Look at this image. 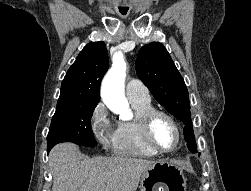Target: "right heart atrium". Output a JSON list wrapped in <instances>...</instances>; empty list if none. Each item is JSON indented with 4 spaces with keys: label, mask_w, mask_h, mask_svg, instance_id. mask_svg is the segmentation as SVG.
I'll use <instances>...</instances> for the list:
<instances>
[{
    "label": "right heart atrium",
    "mask_w": 251,
    "mask_h": 191,
    "mask_svg": "<svg viewBox=\"0 0 251 191\" xmlns=\"http://www.w3.org/2000/svg\"><path fill=\"white\" fill-rule=\"evenodd\" d=\"M89 128L91 135L103 150L108 151L115 148L117 127L110 118L103 101H99L92 109L89 117Z\"/></svg>",
    "instance_id": "d8ad5b80"
}]
</instances>
